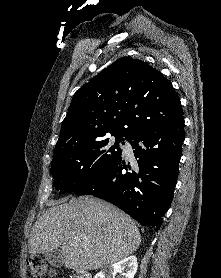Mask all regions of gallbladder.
I'll return each instance as SVG.
<instances>
[{"instance_id": "obj_1", "label": "gallbladder", "mask_w": 221, "mask_h": 278, "mask_svg": "<svg viewBox=\"0 0 221 278\" xmlns=\"http://www.w3.org/2000/svg\"><path fill=\"white\" fill-rule=\"evenodd\" d=\"M45 260L53 267H61L64 264L63 257L59 249L45 254Z\"/></svg>"}]
</instances>
